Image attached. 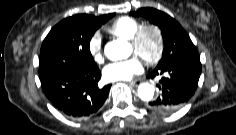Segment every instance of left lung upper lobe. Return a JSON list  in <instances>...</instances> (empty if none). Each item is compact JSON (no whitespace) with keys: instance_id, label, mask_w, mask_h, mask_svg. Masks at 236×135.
Returning <instances> with one entry per match:
<instances>
[{"instance_id":"left-lung-upper-lobe-1","label":"left lung upper lobe","mask_w":236,"mask_h":135,"mask_svg":"<svg viewBox=\"0 0 236 135\" xmlns=\"http://www.w3.org/2000/svg\"><path fill=\"white\" fill-rule=\"evenodd\" d=\"M130 14L147 18L151 23L159 26L162 31L164 49L162 58L155 69L170 63L182 62L191 57L193 53L198 52L189 35L168 14L154 8H141Z\"/></svg>"}]
</instances>
